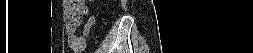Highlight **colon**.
Here are the masks:
<instances>
[{
	"instance_id": "5ec220e1",
	"label": "colon",
	"mask_w": 253,
	"mask_h": 53,
	"mask_svg": "<svg viewBox=\"0 0 253 53\" xmlns=\"http://www.w3.org/2000/svg\"><path fill=\"white\" fill-rule=\"evenodd\" d=\"M83 1L69 0L67 1V24L70 26H78L88 10L81 5Z\"/></svg>"
}]
</instances>
